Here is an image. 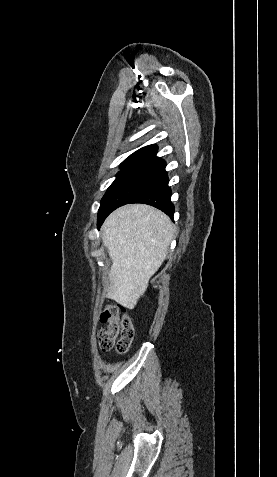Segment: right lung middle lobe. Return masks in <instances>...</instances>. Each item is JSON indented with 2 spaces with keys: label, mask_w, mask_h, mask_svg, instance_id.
<instances>
[{
  "label": "right lung middle lobe",
  "mask_w": 277,
  "mask_h": 477,
  "mask_svg": "<svg viewBox=\"0 0 277 477\" xmlns=\"http://www.w3.org/2000/svg\"><path fill=\"white\" fill-rule=\"evenodd\" d=\"M161 170L145 167L122 168L101 200L98 210V228L113 210L129 203L143 191L159 175Z\"/></svg>",
  "instance_id": "dd1d6c3e"
}]
</instances>
